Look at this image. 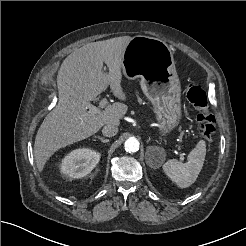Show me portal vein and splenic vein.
<instances>
[{
    "instance_id": "portal-vein-and-splenic-vein-1",
    "label": "portal vein and splenic vein",
    "mask_w": 246,
    "mask_h": 246,
    "mask_svg": "<svg viewBox=\"0 0 246 246\" xmlns=\"http://www.w3.org/2000/svg\"><path fill=\"white\" fill-rule=\"evenodd\" d=\"M107 105V99L106 98H103L100 102H99V107H96L94 106L93 104L91 103H88L86 105V108L89 109V111L91 113H94V114H97L99 113L101 110H103ZM179 156H180V159L183 161L184 160V154L179 152Z\"/></svg>"
}]
</instances>
